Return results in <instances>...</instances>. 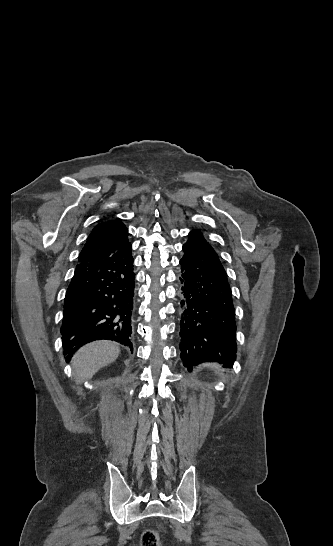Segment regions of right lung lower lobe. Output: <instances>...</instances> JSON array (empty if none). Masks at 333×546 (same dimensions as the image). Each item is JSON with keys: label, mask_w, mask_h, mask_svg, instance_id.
<instances>
[{"label": "right lung lower lobe", "mask_w": 333, "mask_h": 546, "mask_svg": "<svg viewBox=\"0 0 333 546\" xmlns=\"http://www.w3.org/2000/svg\"><path fill=\"white\" fill-rule=\"evenodd\" d=\"M134 279L131 244L105 259L76 266L66 292L61 326L67 360L83 345L100 339L133 350Z\"/></svg>", "instance_id": "obj_1"}]
</instances>
